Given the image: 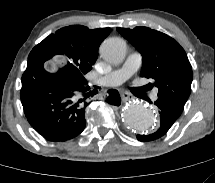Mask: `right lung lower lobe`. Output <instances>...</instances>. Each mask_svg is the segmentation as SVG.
<instances>
[{
  "mask_svg": "<svg viewBox=\"0 0 215 183\" xmlns=\"http://www.w3.org/2000/svg\"><path fill=\"white\" fill-rule=\"evenodd\" d=\"M93 92L87 80L75 77L68 67L48 73L35 48L30 52L20 98L28 122L45 139L63 142L79 135L86 126L85 109ZM106 101L119 106L118 91L109 90Z\"/></svg>",
  "mask_w": 215,
  "mask_h": 183,
  "instance_id": "1",
  "label": "right lung lower lobe"
}]
</instances>
